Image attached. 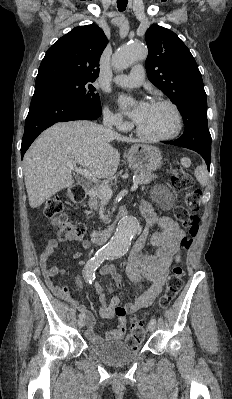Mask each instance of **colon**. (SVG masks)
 <instances>
[{"label":"colon","instance_id":"5ec220e1","mask_svg":"<svg viewBox=\"0 0 232 399\" xmlns=\"http://www.w3.org/2000/svg\"><path fill=\"white\" fill-rule=\"evenodd\" d=\"M175 166L171 170V175L181 182L183 188V196L189 203H180V208L175 209L177 218H181V222H184L183 230H187V238H182V243H193V239L196 238L195 230H198L199 217H189L190 214H197L199 210V203L201 202V191H196L195 181L191 178V175L182 168H192V163H188V160H175ZM63 208L61 200L56 198H49L44 203L43 216H48L49 219H65V214H58ZM55 231L73 232L74 228L71 224H64L62 226H55ZM78 236H84V222H79V227L76 228ZM169 274L175 276H166V281H169L167 287L163 290L160 297L159 305H156L152 309V314L156 318L164 316L165 312H168L172 308V302L175 299L176 294L182 289L180 282V275L184 274V267L180 263H175L169 269ZM54 290H58V294L62 298H67L71 294V289L63 283H54ZM134 325L129 331L126 342H123V347H137L139 341H143L145 338L146 330L145 322H135L132 319Z\"/></svg>","mask_w":232,"mask_h":399}]
</instances>
